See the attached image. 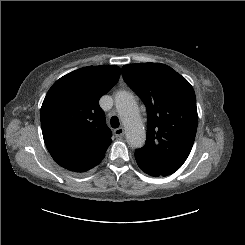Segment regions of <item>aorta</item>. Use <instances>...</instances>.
Masks as SVG:
<instances>
[{"instance_id": "762f6f07", "label": "aorta", "mask_w": 245, "mask_h": 245, "mask_svg": "<svg viewBox=\"0 0 245 245\" xmlns=\"http://www.w3.org/2000/svg\"><path fill=\"white\" fill-rule=\"evenodd\" d=\"M116 109L125 127L126 140L133 148H141L146 140L145 129L138 105L129 92L120 91L116 95Z\"/></svg>"}]
</instances>
